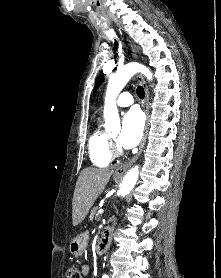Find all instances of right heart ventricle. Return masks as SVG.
<instances>
[{
  "mask_svg": "<svg viewBox=\"0 0 221 278\" xmlns=\"http://www.w3.org/2000/svg\"><path fill=\"white\" fill-rule=\"evenodd\" d=\"M110 137L101 128L96 127L88 140V151L90 160L98 167H107L112 161L109 149Z\"/></svg>",
  "mask_w": 221,
  "mask_h": 278,
  "instance_id": "e07e8e85",
  "label": "right heart ventricle"
}]
</instances>
